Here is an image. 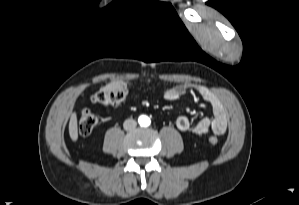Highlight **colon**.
<instances>
[{
  "instance_id": "5ec220e1",
  "label": "colon",
  "mask_w": 299,
  "mask_h": 205,
  "mask_svg": "<svg viewBox=\"0 0 299 205\" xmlns=\"http://www.w3.org/2000/svg\"><path fill=\"white\" fill-rule=\"evenodd\" d=\"M126 94L127 90L122 86L108 91H100L91 97V101L106 107L117 106L125 99ZM97 121L98 119L95 113L89 109H84L81 112L78 122L79 133L83 136L91 134L97 124ZM209 143L217 145L218 138L214 135L210 136Z\"/></svg>"
}]
</instances>
